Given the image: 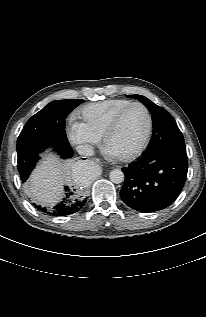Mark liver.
Wrapping results in <instances>:
<instances>
[{
  "instance_id": "6515ba94",
  "label": "liver",
  "mask_w": 206,
  "mask_h": 317,
  "mask_svg": "<svg viewBox=\"0 0 206 317\" xmlns=\"http://www.w3.org/2000/svg\"><path fill=\"white\" fill-rule=\"evenodd\" d=\"M30 177V194L41 205H55L63 196V185L70 180V163L47 156Z\"/></svg>"
}]
</instances>
